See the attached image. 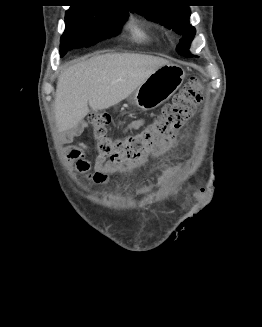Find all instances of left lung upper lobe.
Segmentation results:
<instances>
[{"mask_svg":"<svg viewBox=\"0 0 262 327\" xmlns=\"http://www.w3.org/2000/svg\"><path fill=\"white\" fill-rule=\"evenodd\" d=\"M130 7L140 15H144L148 20L159 22L169 29H173L182 35L177 46V52L185 57H196L190 54L189 47L195 36V28L189 24L191 11L189 6L169 4L165 0H140Z\"/></svg>","mask_w":262,"mask_h":327,"instance_id":"1","label":"left lung upper lobe"}]
</instances>
